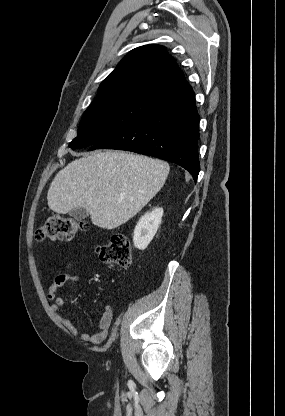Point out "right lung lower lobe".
I'll return each mask as SVG.
<instances>
[{"label": "right lung lower lobe", "instance_id": "98d812e1", "mask_svg": "<svg viewBox=\"0 0 285 416\" xmlns=\"http://www.w3.org/2000/svg\"><path fill=\"white\" fill-rule=\"evenodd\" d=\"M199 115L195 98L160 108L125 129L92 145L89 150L117 149L176 163L196 181Z\"/></svg>", "mask_w": 285, "mask_h": 416}]
</instances>
